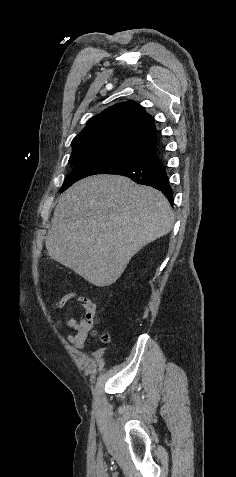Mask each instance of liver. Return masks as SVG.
Wrapping results in <instances>:
<instances>
[{
	"label": "liver",
	"mask_w": 236,
	"mask_h": 477,
	"mask_svg": "<svg viewBox=\"0 0 236 477\" xmlns=\"http://www.w3.org/2000/svg\"><path fill=\"white\" fill-rule=\"evenodd\" d=\"M49 256L97 287L116 282L144 246L168 234L174 213L158 190L118 175L85 178L59 198Z\"/></svg>",
	"instance_id": "1"
}]
</instances>
